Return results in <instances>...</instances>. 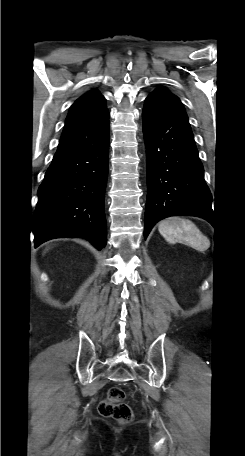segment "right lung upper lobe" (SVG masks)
Segmentation results:
<instances>
[{"instance_id": "right-lung-upper-lobe-1", "label": "right lung upper lobe", "mask_w": 245, "mask_h": 456, "mask_svg": "<svg viewBox=\"0 0 245 456\" xmlns=\"http://www.w3.org/2000/svg\"><path fill=\"white\" fill-rule=\"evenodd\" d=\"M108 118L105 98L97 90L78 98L69 110L56 154L94 143L109 123Z\"/></svg>"}]
</instances>
